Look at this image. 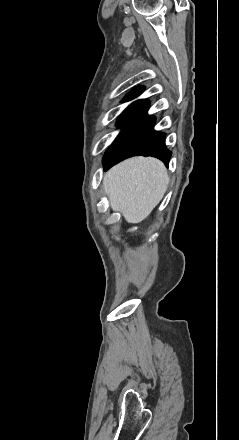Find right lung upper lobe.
I'll list each match as a JSON object with an SVG mask.
<instances>
[{
	"label": "right lung upper lobe",
	"instance_id": "cb5924a9",
	"mask_svg": "<svg viewBox=\"0 0 239 440\" xmlns=\"http://www.w3.org/2000/svg\"><path fill=\"white\" fill-rule=\"evenodd\" d=\"M144 91L143 86H138L135 89H133L126 97L125 100L133 99L134 97L140 95Z\"/></svg>",
	"mask_w": 239,
	"mask_h": 440
}]
</instances>
